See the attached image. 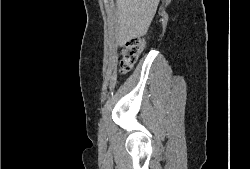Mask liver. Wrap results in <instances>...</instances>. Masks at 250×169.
<instances>
[{"instance_id": "1", "label": "liver", "mask_w": 250, "mask_h": 169, "mask_svg": "<svg viewBox=\"0 0 250 169\" xmlns=\"http://www.w3.org/2000/svg\"><path fill=\"white\" fill-rule=\"evenodd\" d=\"M159 0H116L118 38L121 44L146 34L157 10Z\"/></svg>"}]
</instances>
